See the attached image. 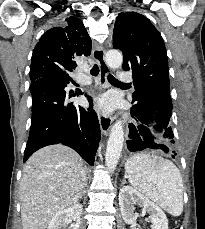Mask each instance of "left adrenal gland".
Segmentation results:
<instances>
[{"label": "left adrenal gland", "instance_id": "1", "mask_svg": "<svg viewBox=\"0 0 205 229\" xmlns=\"http://www.w3.org/2000/svg\"><path fill=\"white\" fill-rule=\"evenodd\" d=\"M126 183V179H123V181H122V184L121 185H123V184H125Z\"/></svg>", "mask_w": 205, "mask_h": 229}]
</instances>
